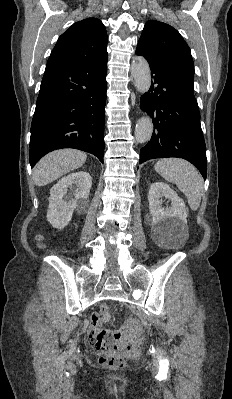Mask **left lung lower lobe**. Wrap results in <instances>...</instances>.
Wrapping results in <instances>:
<instances>
[{
    "instance_id": "left-lung-lower-lobe-1",
    "label": "left lung lower lobe",
    "mask_w": 232,
    "mask_h": 399,
    "mask_svg": "<svg viewBox=\"0 0 232 399\" xmlns=\"http://www.w3.org/2000/svg\"><path fill=\"white\" fill-rule=\"evenodd\" d=\"M136 54L148 61L153 78L149 92L141 97L140 107L152 118L154 131L141 148L139 164L154 158H183L206 179V146L194 94L159 58L138 48Z\"/></svg>"
}]
</instances>
